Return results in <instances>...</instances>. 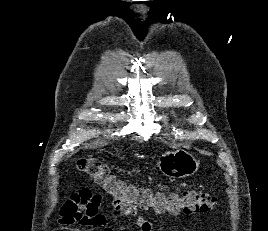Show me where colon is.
Returning a JSON list of instances; mask_svg holds the SVG:
<instances>
[{
  "label": "colon",
  "mask_w": 268,
  "mask_h": 231,
  "mask_svg": "<svg viewBox=\"0 0 268 231\" xmlns=\"http://www.w3.org/2000/svg\"><path fill=\"white\" fill-rule=\"evenodd\" d=\"M77 167L124 211L134 207L153 209L156 212L172 215L195 214L212 211L217 204L215 197L193 190L182 193H164L127 184L112 175L103 162L93 157L80 158L77 161ZM80 195L87 196V193L81 192Z\"/></svg>",
  "instance_id": "obj_1"
}]
</instances>
